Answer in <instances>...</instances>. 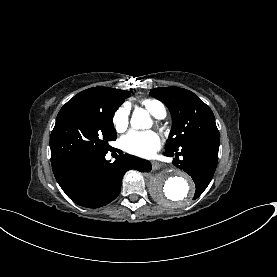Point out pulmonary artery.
Wrapping results in <instances>:
<instances>
[{"label":"pulmonary artery","mask_w":277,"mask_h":277,"mask_svg":"<svg viewBox=\"0 0 277 277\" xmlns=\"http://www.w3.org/2000/svg\"><path fill=\"white\" fill-rule=\"evenodd\" d=\"M166 117V110H164L163 114L161 115L160 118H165Z\"/></svg>","instance_id":"obj_1"}]
</instances>
